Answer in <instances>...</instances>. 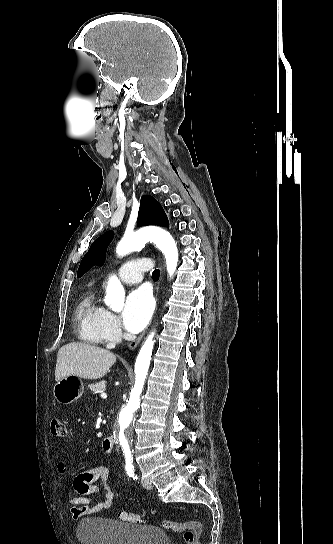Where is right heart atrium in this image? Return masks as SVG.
<instances>
[{"label": "right heart atrium", "instance_id": "1", "mask_svg": "<svg viewBox=\"0 0 333 544\" xmlns=\"http://www.w3.org/2000/svg\"><path fill=\"white\" fill-rule=\"evenodd\" d=\"M102 334L105 341L113 343L121 336V328L117 317L106 311L102 320Z\"/></svg>", "mask_w": 333, "mask_h": 544}]
</instances>
